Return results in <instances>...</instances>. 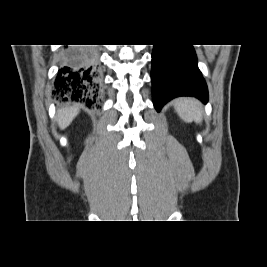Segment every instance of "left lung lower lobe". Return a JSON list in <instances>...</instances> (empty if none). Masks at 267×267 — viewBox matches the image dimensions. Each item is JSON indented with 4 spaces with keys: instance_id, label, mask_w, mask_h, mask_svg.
Masks as SVG:
<instances>
[{
    "instance_id": "1",
    "label": "left lung lower lobe",
    "mask_w": 267,
    "mask_h": 267,
    "mask_svg": "<svg viewBox=\"0 0 267 267\" xmlns=\"http://www.w3.org/2000/svg\"><path fill=\"white\" fill-rule=\"evenodd\" d=\"M151 80L157 111L179 96H193L203 103L208 101L207 85L192 45H154Z\"/></svg>"
}]
</instances>
